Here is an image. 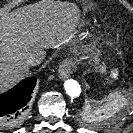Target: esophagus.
<instances>
[{
	"instance_id": "obj_1",
	"label": "esophagus",
	"mask_w": 133,
	"mask_h": 133,
	"mask_svg": "<svg viewBox=\"0 0 133 133\" xmlns=\"http://www.w3.org/2000/svg\"><path fill=\"white\" fill-rule=\"evenodd\" d=\"M73 70H74V65H72L68 62L63 63L60 66L59 71H58L59 72L58 73L59 78L61 80L67 79L70 76V74L72 73Z\"/></svg>"
}]
</instances>
